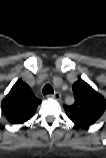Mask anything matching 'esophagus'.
Masks as SVG:
<instances>
[{
  "mask_svg": "<svg viewBox=\"0 0 106 158\" xmlns=\"http://www.w3.org/2000/svg\"><path fill=\"white\" fill-rule=\"evenodd\" d=\"M48 97L54 98L55 100H60L61 99V94L58 91H56L53 94H48Z\"/></svg>",
  "mask_w": 106,
  "mask_h": 158,
  "instance_id": "obj_1",
  "label": "esophagus"
}]
</instances>
